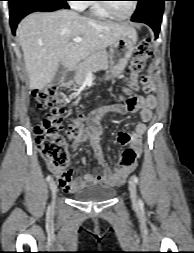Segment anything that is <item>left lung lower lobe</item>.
Wrapping results in <instances>:
<instances>
[{"mask_svg": "<svg viewBox=\"0 0 194 253\" xmlns=\"http://www.w3.org/2000/svg\"><path fill=\"white\" fill-rule=\"evenodd\" d=\"M138 6L132 16L133 22L148 24L158 37L162 21L164 2L167 0H137Z\"/></svg>", "mask_w": 194, "mask_h": 253, "instance_id": "1", "label": "left lung lower lobe"}]
</instances>
